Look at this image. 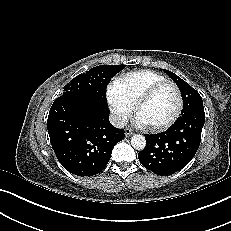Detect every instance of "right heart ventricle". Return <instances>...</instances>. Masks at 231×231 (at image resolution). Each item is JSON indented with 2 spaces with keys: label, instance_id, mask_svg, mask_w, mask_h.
Wrapping results in <instances>:
<instances>
[{
  "label": "right heart ventricle",
  "instance_id": "obj_1",
  "mask_svg": "<svg viewBox=\"0 0 231 231\" xmlns=\"http://www.w3.org/2000/svg\"><path fill=\"white\" fill-rule=\"evenodd\" d=\"M162 80V77L152 72H140L130 75L120 84L122 98L126 102H135L141 97L152 85Z\"/></svg>",
  "mask_w": 231,
  "mask_h": 231
}]
</instances>
